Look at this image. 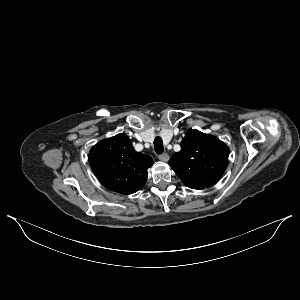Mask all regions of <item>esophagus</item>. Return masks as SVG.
<instances>
[{
    "label": "esophagus",
    "instance_id": "esophagus-1",
    "mask_svg": "<svg viewBox=\"0 0 300 300\" xmlns=\"http://www.w3.org/2000/svg\"><path fill=\"white\" fill-rule=\"evenodd\" d=\"M159 160L163 162H167L169 160V155L167 153H163L158 155Z\"/></svg>",
    "mask_w": 300,
    "mask_h": 300
}]
</instances>
